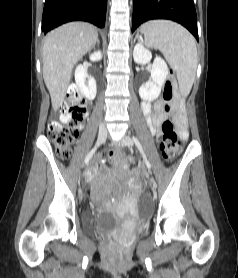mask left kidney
Returning <instances> with one entry per match:
<instances>
[{
    "label": "left kidney",
    "instance_id": "obj_1",
    "mask_svg": "<svg viewBox=\"0 0 238 278\" xmlns=\"http://www.w3.org/2000/svg\"><path fill=\"white\" fill-rule=\"evenodd\" d=\"M133 58L136 63L147 64L151 61L152 54L141 43L134 47ZM169 74L166 62L156 56L151 69V79L139 88V95L145 101H154L161 93V89Z\"/></svg>",
    "mask_w": 238,
    "mask_h": 278
}]
</instances>
